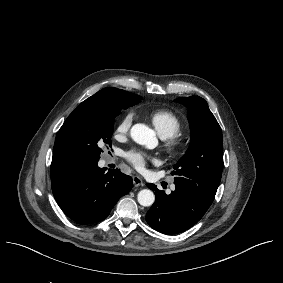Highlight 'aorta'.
Instances as JSON below:
<instances>
[{
  "instance_id": "obj_1",
  "label": "aorta",
  "mask_w": 283,
  "mask_h": 283,
  "mask_svg": "<svg viewBox=\"0 0 283 283\" xmlns=\"http://www.w3.org/2000/svg\"><path fill=\"white\" fill-rule=\"evenodd\" d=\"M130 135L140 145L152 148L157 144L155 132L145 124H135L130 130ZM137 200L140 205L148 207L154 203L155 195L150 189H143L139 191Z\"/></svg>"
}]
</instances>
